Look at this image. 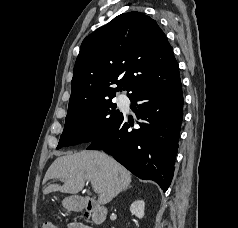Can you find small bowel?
<instances>
[{"label": "small bowel", "instance_id": "obj_1", "mask_svg": "<svg viewBox=\"0 0 238 228\" xmlns=\"http://www.w3.org/2000/svg\"><path fill=\"white\" fill-rule=\"evenodd\" d=\"M67 228H91V227L81 222H71L68 224Z\"/></svg>", "mask_w": 238, "mask_h": 228}]
</instances>
